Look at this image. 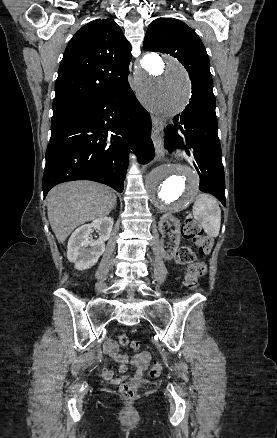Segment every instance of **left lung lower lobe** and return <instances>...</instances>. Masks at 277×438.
<instances>
[{
    "label": "left lung lower lobe",
    "mask_w": 277,
    "mask_h": 438,
    "mask_svg": "<svg viewBox=\"0 0 277 438\" xmlns=\"http://www.w3.org/2000/svg\"><path fill=\"white\" fill-rule=\"evenodd\" d=\"M174 124L168 125L165 130V148L169 152L184 148L189 156V149H192L194 166L200 177L199 189L214 195L225 206V179L217 133L215 98L191 100L182 114L174 118Z\"/></svg>",
    "instance_id": "left-lung-lower-lobe-1"
}]
</instances>
